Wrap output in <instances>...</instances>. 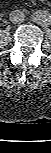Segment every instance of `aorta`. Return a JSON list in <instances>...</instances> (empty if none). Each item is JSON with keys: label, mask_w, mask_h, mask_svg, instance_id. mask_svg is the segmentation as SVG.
<instances>
[{"label": "aorta", "mask_w": 51, "mask_h": 153, "mask_svg": "<svg viewBox=\"0 0 51 153\" xmlns=\"http://www.w3.org/2000/svg\"><path fill=\"white\" fill-rule=\"evenodd\" d=\"M31 18L42 26L49 27L51 25L49 21L51 19V14L49 12L34 10L31 13Z\"/></svg>", "instance_id": "aorta-1"}]
</instances>
